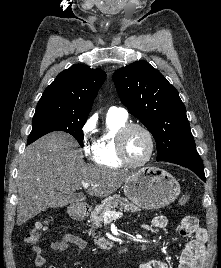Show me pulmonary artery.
<instances>
[{"label":"pulmonary artery","mask_w":221,"mask_h":268,"mask_svg":"<svg viewBox=\"0 0 221 268\" xmlns=\"http://www.w3.org/2000/svg\"><path fill=\"white\" fill-rule=\"evenodd\" d=\"M107 115L117 116V117L126 119L128 116V112L124 108L110 107L108 112H107Z\"/></svg>","instance_id":"1"}]
</instances>
